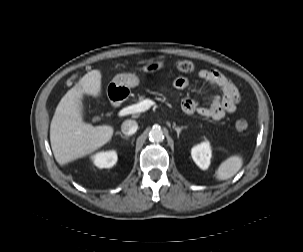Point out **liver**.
Returning <instances> with one entry per match:
<instances>
[{
    "label": "liver",
    "instance_id": "1",
    "mask_svg": "<svg viewBox=\"0 0 303 252\" xmlns=\"http://www.w3.org/2000/svg\"><path fill=\"white\" fill-rule=\"evenodd\" d=\"M101 72L85 74L59 102L50 125L51 148L56 161L66 165L104 146L112 138V126L94 127L83 121V95L101 94Z\"/></svg>",
    "mask_w": 303,
    "mask_h": 252
}]
</instances>
